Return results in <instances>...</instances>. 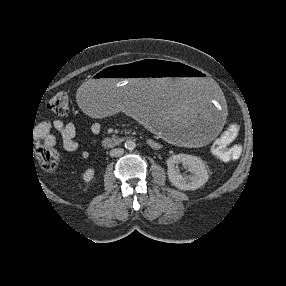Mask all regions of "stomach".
<instances>
[{"label":"stomach","mask_w":286,"mask_h":286,"mask_svg":"<svg viewBox=\"0 0 286 286\" xmlns=\"http://www.w3.org/2000/svg\"><path fill=\"white\" fill-rule=\"evenodd\" d=\"M79 102L94 117L131 109L179 144L207 140L225 119L224 96L208 76L161 57L105 66L82 86Z\"/></svg>","instance_id":"stomach-1"}]
</instances>
